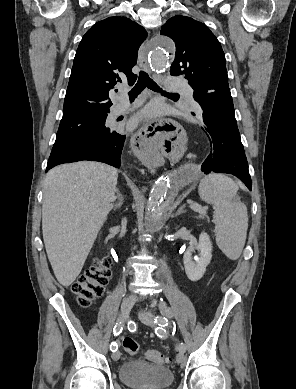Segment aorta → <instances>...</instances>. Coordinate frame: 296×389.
<instances>
[{"label": "aorta", "instance_id": "1", "mask_svg": "<svg viewBox=\"0 0 296 389\" xmlns=\"http://www.w3.org/2000/svg\"><path fill=\"white\" fill-rule=\"evenodd\" d=\"M173 49L174 45L170 39L158 38L154 40L149 57L152 68L158 72L164 70L166 66H172L174 63ZM197 173L198 170L195 165H188L182 172L181 180L174 182L168 177H161L155 182L145 212L147 232H155L163 226L167 213L180 189L191 183Z\"/></svg>", "mask_w": 296, "mask_h": 389}]
</instances>
